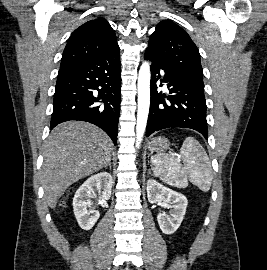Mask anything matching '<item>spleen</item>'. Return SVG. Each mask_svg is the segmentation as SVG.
<instances>
[{
    "label": "spleen",
    "mask_w": 267,
    "mask_h": 270,
    "mask_svg": "<svg viewBox=\"0 0 267 270\" xmlns=\"http://www.w3.org/2000/svg\"><path fill=\"white\" fill-rule=\"evenodd\" d=\"M151 166L154 174L167 184L184 188L189 179L204 192L210 189L211 162L204 148L193 137L185 138L179 157L172 154L153 156Z\"/></svg>",
    "instance_id": "1"
}]
</instances>
